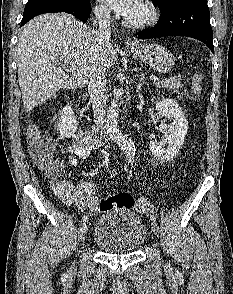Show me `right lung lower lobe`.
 Masks as SVG:
<instances>
[{"label": "right lung lower lobe", "mask_w": 233, "mask_h": 294, "mask_svg": "<svg viewBox=\"0 0 233 294\" xmlns=\"http://www.w3.org/2000/svg\"><path fill=\"white\" fill-rule=\"evenodd\" d=\"M64 13L72 14L76 18L80 19L83 22H86L91 13V4L90 1H86L72 9L62 11ZM24 22H21V25H24Z\"/></svg>", "instance_id": "right-lung-lower-lobe-1"}]
</instances>
